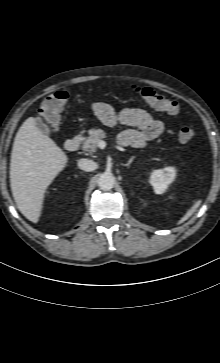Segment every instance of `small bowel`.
<instances>
[{"mask_svg":"<svg viewBox=\"0 0 220 363\" xmlns=\"http://www.w3.org/2000/svg\"><path fill=\"white\" fill-rule=\"evenodd\" d=\"M92 111L106 125L123 124L131 127L119 136V143L124 146L143 147L147 141L158 138L165 131L162 121L141 108L114 110L111 106L98 102L92 105Z\"/></svg>","mask_w":220,"mask_h":363,"instance_id":"c3829d8e","label":"small bowel"}]
</instances>
